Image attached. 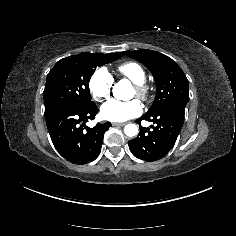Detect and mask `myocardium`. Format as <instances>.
I'll list each match as a JSON object with an SVG mask.
<instances>
[{
	"label": "myocardium",
	"instance_id": "1",
	"mask_svg": "<svg viewBox=\"0 0 236 236\" xmlns=\"http://www.w3.org/2000/svg\"><path fill=\"white\" fill-rule=\"evenodd\" d=\"M133 88L136 90L137 99L145 101L148 98L149 89L145 82H133Z\"/></svg>",
	"mask_w": 236,
	"mask_h": 236
}]
</instances>
